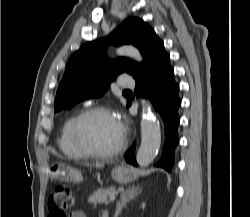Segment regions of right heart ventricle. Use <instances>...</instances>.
<instances>
[{
    "instance_id": "right-heart-ventricle-1",
    "label": "right heart ventricle",
    "mask_w": 250,
    "mask_h": 217,
    "mask_svg": "<svg viewBox=\"0 0 250 217\" xmlns=\"http://www.w3.org/2000/svg\"><path fill=\"white\" fill-rule=\"evenodd\" d=\"M75 117L76 115L73 114L63 122L58 138V147L60 151L68 158L81 159L85 156L75 146L71 137V126Z\"/></svg>"
}]
</instances>
